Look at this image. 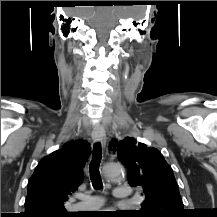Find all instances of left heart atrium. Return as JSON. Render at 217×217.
<instances>
[{"label":"left heart atrium","mask_w":217,"mask_h":217,"mask_svg":"<svg viewBox=\"0 0 217 217\" xmlns=\"http://www.w3.org/2000/svg\"><path fill=\"white\" fill-rule=\"evenodd\" d=\"M114 212H104L102 215L103 216H110V215H114Z\"/></svg>","instance_id":"obj_1"}]
</instances>
